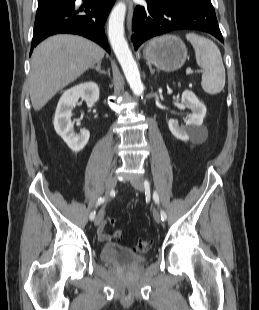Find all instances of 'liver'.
I'll return each mask as SVG.
<instances>
[{"label": "liver", "instance_id": "liver-1", "mask_svg": "<svg viewBox=\"0 0 259 310\" xmlns=\"http://www.w3.org/2000/svg\"><path fill=\"white\" fill-rule=\"evenodd\" d=\"M105 51L96 43L76 35H55L33 51L29 91L35 111L89 68L101 62Z\"/></svg>", "mask_w": 259, "mask_h": 310}]
</instances>
